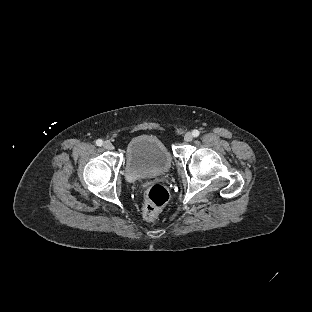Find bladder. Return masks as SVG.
<instances>
[{
  "mask_svg": "<svg viewBox=\"0 0 312 312\" xmlns=\"http://www.w3.org/2000/svg\"><path fill=\"white\" fill-rule=\"evenodd\" d=\"M172 166L165 144L153 136H140L127 145L124 173L130 178L159 176Z\"/></svg>",
  "mask_w": 312,
  "mask_h": 312,
  "instance_id": "31cf9c89",
  "label": "bladder"
}]
</instances>
